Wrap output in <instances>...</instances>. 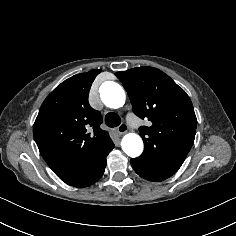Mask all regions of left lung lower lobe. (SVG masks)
Returning a JSON list of instances; mask_svg holds the SVG:
<instances>
[{"instance_id": "1", "label": "left lung lower lobe", "mask_w": 236, "mask_h": 236, "mask_svg": "<svg viewBox=\"0 0 236 236\" xmlns=\"http://www.w3.org/2000/svg\"><path fill=\"white\" fill-rule=\"evenodd\" d=\"M183 162L141 155L138 158L131 159V165L135 172L142 178L149 181L160 182L175 174Z\"/></svg>"}]
</instances>
